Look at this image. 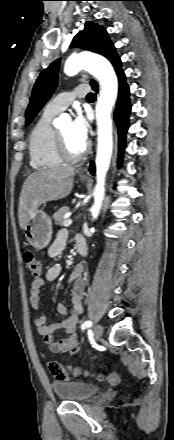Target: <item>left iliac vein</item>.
I'll return each instance as SVG.
<instances>
[{
  "label": "left iliac vein",
  "instance_id": "left-iliac-vein-1",
  "mask_svg": "<svg viewBox=\"0 0 174 440\" xmlns=\"http://www.w3.org/2000/svg\"><path fill=\"white\" fill-rule=\"evenodd\" d=\"M93 334L96 340H100L102 334H103V328L100 324L95 325L93 329Z\"/></svg>",
  "mask_w": 174,
  "mask_h": 440
}]
</instances>
